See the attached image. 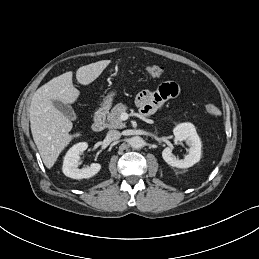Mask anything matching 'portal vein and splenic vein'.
Here are the masks:
<instances>
[{
	"instance_id": "obj_1",
	"label": "portal vein and splenic vein",
	"mask_w": 259,
	"mask_h": 259,
	"mask_svg": "<svg viewBox=\"0 0 259 259\" xmlns=\"http://www.w3.org/2000/svg\"><path fill=\"white\" fill-rule=\"evenodd\" d=\"M128 117H129V115H128L127 113H122L121 116H120V119H121L122 121H125V120L128 119Z\"/></svg>"
}]
</instances>
